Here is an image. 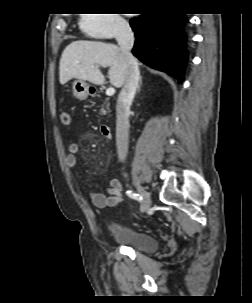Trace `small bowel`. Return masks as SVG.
I'll list each match as a JSON object with an SVG mask.
<instances>
[{"instance_id": "c3829d8e", "label": "small bowel", "mask_w": 252, "mask_h": 303, "mask_svg": "<svg viewBox=\"0 0 252 303\" xmlns=\"http://www.w3.org/2000/svg\"><path fill=\"white\" fill-rule=\"evenodd\" d=\"M78 143L73 142L68 147V155L66 156V165L74 169L77 167L76 153L78 152ZM107 192L109 196H106L99 192L90 193V199L92 203L100 209H112L121 204L124 201L123 186L122 183L116 178H109L107 181Z\"/></svg>"}]
</instances>
